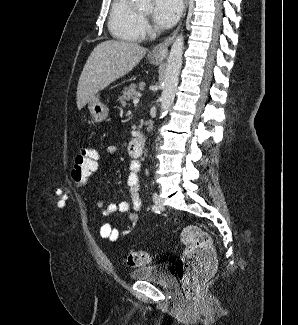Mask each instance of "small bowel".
Returning a JSON list of instances; mask_svg holds the SVG:
<instances>
[{
	"label": "small bowel",
	"instance_id": "small-bowel-1",
	"mask_svg": "<svg viewBox=\"0 0 298 325\" xmlns=\"http://www.w3.org/2000/svg\"><path fill=\"white\" fill-rule=\"evenodd\" d=\"M106 156L114 158L117 155V148L114 145H109L105 150ZM129 175L127 184L129 186L131 202L121 201L117 203L106 204L104 197L97 196L95 198V205L101 209V215L108 217L114 212L126 213L128 222L123 230L114 228L111 224L105 223L100 227L99 234L101 238L110 242H115L120 237L131 233L140 219V212L142 208V200L139 195V178L140 162L138 160H131L129 165Z\"/></svg>",
	"mask_w": 298,
	"mask_h": 325
}]
</instances>
